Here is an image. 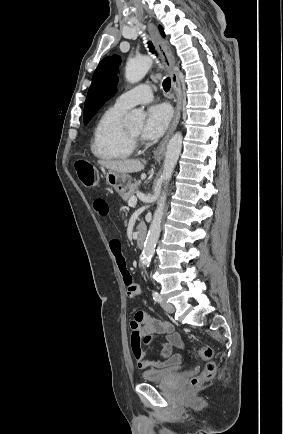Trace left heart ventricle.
Wrapping results in <instances>:
<instances>
[{
	"mask_svg": "<svg viewBox=\"0 0 283 434\" xmlns=\"http://www.w3.org/2000/svg\"><path fill=\"white\" fill-rule=\"evenodd\" d=\"M132 133L139 135L142 129V124L137 123L128 128Z\"/></svg>",
	"mask_w": 283,
	"mask_h": 434,
	"instance_id": "1",
	"label": "left heart ventricle"
}]
</instances>
